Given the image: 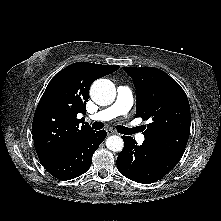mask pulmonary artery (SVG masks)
Wrapping results in <instances>:
<instances>
[{"instance_id":"e3ab8cb5","label":"pulmonary artery","mask_w":221,"mask_h":221,"mask_svg":"<svg viewBox=\"0 0 221 221\" xmlns=\"http://www.w3.org/2000/svg\"><path fill=\"white\" fill-rule=\"evenodd\" d=\"M133 105V94L129 87L118 86L116 101L109 107L93 114L90 119L98 122H106L120 115H126ZM139 142L144 141L142 134L136 135Z\"/></svg>"}]
</instances>
